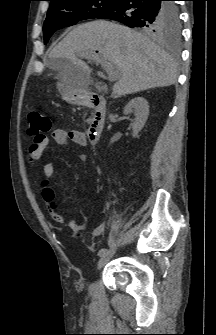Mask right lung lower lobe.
Returning a JSON list of instances; mask_svg holds the SVG:
<instances>
[{"label": "right lung lower lobe", "instance_id": "1", "mask_svg": "<svg viewBox=\"0 0 216 335\" xmlns=\"http://www.w3.org/2000/svg\"><path fill=\"white\" fill-rule=\"evenodd\" d=\"M101 19L116 20L131 28L137 27L157 33L167 28L170 22L179 21V15L173 1L119 0Z\"/></svg>", "mask_w": 216, "mask_h": 335}]
</instances>
